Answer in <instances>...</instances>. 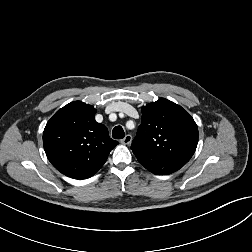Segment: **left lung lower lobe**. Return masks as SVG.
<instances>
[{"instance_id": "obj_1", "label": "left lung lower lobe", "mask_w": 252, "mask_h": 252, "mask_svg": "<svg viewBox=\"0 0 252 252\" xmlns=\"http://www.w3.org/2000/svg\"><path fill=\"white\" fill-rule=\"evenodd\" d=\"M138 161L150 172L157 175L171 174L187 163V161L174 158L140 159Z\"/></svg>"}]
</instances>
